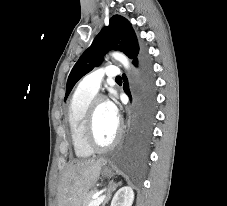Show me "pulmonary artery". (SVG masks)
Here are the masks:
<instances>
[{
  "label": "pulmonary artery",
  "mask_w": 227,
  "mask_h": 206,
  "mask_svg": "<svg viewBox=\"0 0 227 206\" xmlns=\"http://www.w3.org/2000/svg\"><path fill=\"white\" fill-rule=\"evenodd\" d=\"M120 75L118 67L109 65L100 68L86 75L80 82L79 88L96 94L100 89L101 83L105 77L116 78Z\"/></svg>",
  "instance_id": "obj_1"
}]
</instances>
